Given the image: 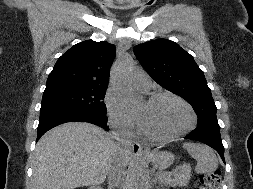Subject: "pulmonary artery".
<instances>
[{"mask_svg": "<svg viewBox=\"0 0 253 189\" xmlns=\"http://www.w3.org/2000/svg\"><path fill=\"white\" fill-rule=\"evenodd\" d=\"M135 85L140 88L141 90L147 91L150 89L151 87V80L150 78L142 73V74H138L136 76V79L134 81Z\"/></svg>", "mask_w": 253, "mask_h": 189, "instance_id": "pulmonary-artery-1", "label": "pulmonary artery"}]
</instances>
